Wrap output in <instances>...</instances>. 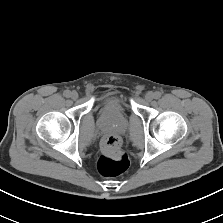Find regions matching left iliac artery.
Returning a JSON list of instances; mask_svg holds the SVG:
<instances>
[{"label":"left iliac artery","mask_w":223,"mask_h":223,"mask_svg":"<svg viewBox=\"0 0 223 223\" xmlns=\"http://www.w3.org/2000/svg\"><path fill=\"white\" fill-rule=\"evenodd\" d=\"M160 97H161V92H159V91L154 92L155 99H159Z\"/></svg>","instance_id":"left-iliac-artery-1"}]
</instances>
